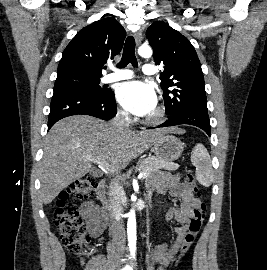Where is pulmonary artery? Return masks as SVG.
Wrapping results in <instances>:
<instances>
[{
  "label": "pulmonary artery",
  "mask_w": 267,
  "mask_h": 270,
  "mask_svg": "<svg viewBox=\"0 0 267 270\" xmlns=\"http://www.w3.org/2000/svg\"><path fill=\"white\" fill-rule=\"evenodd\" d=\"M142 72L145 75H154L156 73L153 64H145L142 67ZM134 76L133 71L129 69H113V72L103 77V82L110 83L119 80L130 79Z\"/></svg>",
  "instance_id": "1"
}]
</instances>
